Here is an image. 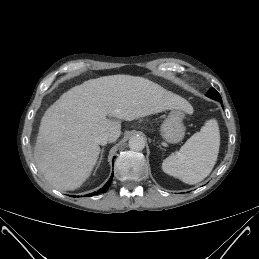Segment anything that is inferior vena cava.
Returning a JSON list of instances; mask_svg holds the SVG:
<instances>
[{"instance_id": "1", "label": "inferior vena cava", "mask_w": 259, "mask_h": 259, "mask_svg": "<svg viewBox=\"0 0 259 259\" xmlns=\"http://www.w3.org/2000/svg\"><path fill=\"white\" fill-rule=\"evenodd\" d=\"M110 141V135L107 132H102L95 138V143L99 145H105Z\"/></svg>"}]
</instances>
